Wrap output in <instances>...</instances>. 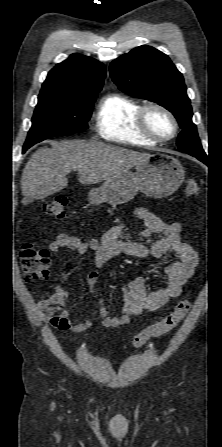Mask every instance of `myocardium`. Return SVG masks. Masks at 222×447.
<instances>
[{
  "label": "myocardium",
  "instance_id": "myocardium-1",
  "mask_svg": "<svg viewBox=\"0 0 222 447\" xmlns=\"http://www.w3.org/2000/svg\"><path fill=\"white\" fill-rule=\"evenodd\" d=\"M152 109L160 111L161 113H163L170 119V121L172 122V125H173V131H172L171 135H169L167 137H161V136L156 135L155 133H153L150 130V128L147 125V113ZM137 124H138L140 131L144 135H146L147 137H149L157 142H165V141L171 140L172 138H174L176 136V134L178 132V122H177V119L174 116V114L165 106H163L159 103H155V102H148L140 107L138 114H137Z\"/></svg>",
  "mask_w": 222,
  "mask_h": 447
}]
</instances>
